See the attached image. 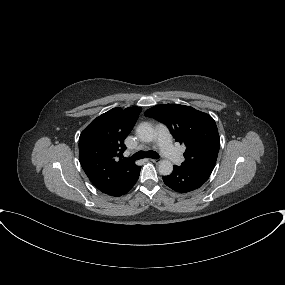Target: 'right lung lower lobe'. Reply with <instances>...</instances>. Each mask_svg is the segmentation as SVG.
Returning <instances> with one entry per match:
<instances>
[{"label":"right lung lower lobe","mask_w":285,"mask_h":285,"mask_svg":"<svg viewBox=\"0 0 285 285\" xmlns=\"http://www.w3.org/2000/svg\"><path fill=\"white\" fill-rule=\"evenodd\" d=\"M140 169H141V167H139L138 170L136 171V173L131 178L126 180L125 182H123V183H121V184H119L113 188L103 190L102 192L105 194H108L110 196H114V197H118V196L126 194L134 186L137 179L139 178Z\"/></svg>","instance_id":"right-lung-lower-lobe-1"}]
</instances>
